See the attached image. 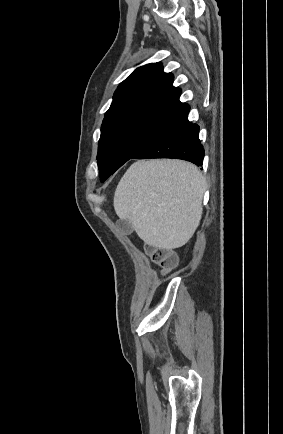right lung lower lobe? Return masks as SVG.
I'll use <instances>...</instances> for the list:
<instances>
[{"label": "right lung lower lobe", "mask_w": 283, "mask_h": 434, "mask_svg": "<svg viewBox=\"0 0 283 434\" xmlns=\"http://www.w3.org/2000/svg\"><path fill=\"white\" fill-rule=\"evenodd\" d=\"M204 155L199 126L189 122L187 114L154 137L133 158H176L199 166Z\"/></svg>", "instance_id": "obj_1"}]
</instances>
